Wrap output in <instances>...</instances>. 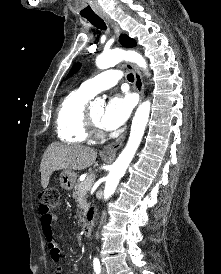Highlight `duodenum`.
I'll return each mask as SVG.
<instances>
[{"label": "duodenum", "mask_w": 221, "mask_h": 274, "mask_svg": "<svg viewBox=\"0 0 221 274\" xmlns=\"http://www.w3.org/2000/svg\"><path fill=\"white\" fill-rule=\"evenodd\" d=\"M93 225H94L93 213L90 212L87 215L86 221L84 222V224L82 226V234H83V236L87 237V236H89L92 233Z\"/></svg>", "instance_id": "duodenum-1"}]
</instances>
